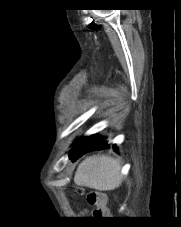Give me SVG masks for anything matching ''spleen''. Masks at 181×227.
I'll use <instances>...</instances> for the list:
<instances>
[{
  "mask_svg": "<svg viewBox=\"0 0 181 227\" xmlns=\"http://www.w3.org/2000/svg\"><path fill=\"white\" fill-rule=\"evenodd\" d=\"M120 162L106 155L86 158L77 168L74 182L99 191L114 190L122 183Z\"/></svg>",
  "mask_w": 181,
  "mask_h": 227,
  "instance_id": "spleen-1",
  "label": "spleen"
}]
</instances>
